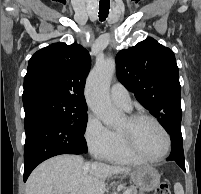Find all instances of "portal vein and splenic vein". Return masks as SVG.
I'll use <instances>...</instances> for the list:
<instances>
[{
    "label": "portal vein and splenic vein",
    "mask_w": 201,
    "mask_h": 194,
    "mask_svg": "<svg viewBox=\"0 0 201 194\" xmlns=\"http://www.w3.org/2000/svg\"><path fill=\"white\" fill-rule=\"evenodd\" d=\"M123 194H129V190H125V192Z\"/></svg>",
    "instance_id": "obj_1"
}]
</instances>
